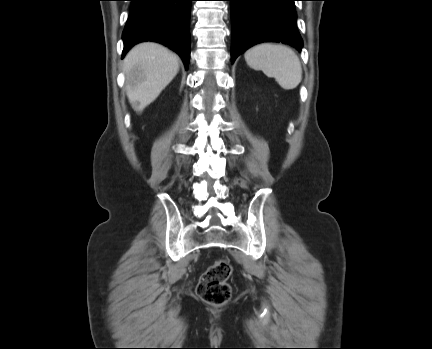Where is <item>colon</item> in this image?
<instances>
[{"label": "colon", "instance_id": "colon-1", "mask_svg": "<svg viewBox=\"0 0 432 349\" xmlns=\"http://www.w3.org/2000/svg\"><path fill=\"white\" fill-rule=\"evenodd\" d=\"M233 272L227 259L215 261L203 273L197 286V294L205 302L212 305H223L231 297L228 280Z\"/></svg>", "mask_w": 432, "mask_h": 349}]
</instances>
